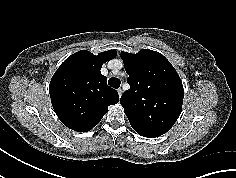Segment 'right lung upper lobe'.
<instances>
[{
  "label": "right lung upper lobe",
  "mask_w": 236,
  "mask_h": 178,
  "mask_svg": "<svg viewBox=\"0 0 236 178\" xmlns=\"http://www.w3.org/2000/svg\"><path fill=\"white\" fill-rule=\"evenodd\" d=\"M117 55L115 50L97 56L81 50L67 58L53 75L49 91L54 111L68 128L87 132L119 101L116 90L100 72L102 64Z\"/></svg>",
  "instance_id": "cb5924a9"
}]
</instances>
